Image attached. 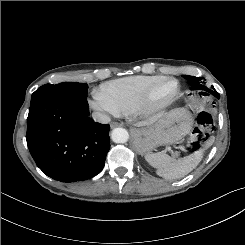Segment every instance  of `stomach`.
I'll return each instance as SVG.
<instances>
[{"label": "stomach", "mask_w": 245, "mask_h": 245, "mask_svg": "<svg viewBox=\"0 0 245 245\" xmlns=\"http://www.w3.org/2000/svg\"><path fill=\"white\" fill-rule=\"evenodd\" d=\"M192 126L193 117L187 109L172 110L153 125L134 129V148L145 154L159 146L174 144L189 134Z\"/></svg>", "instance_id": "obj_1"}]
</instances>
